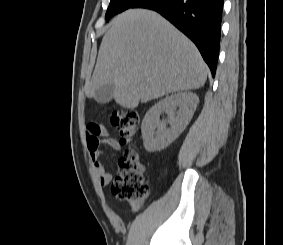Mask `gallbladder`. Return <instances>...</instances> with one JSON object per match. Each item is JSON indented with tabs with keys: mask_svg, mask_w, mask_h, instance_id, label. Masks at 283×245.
<instances>
[{
	"mask_svg": "<svg viewBox=\"0 0 283 245\" xmlns=\"http://www.w3.org/2000/svg\"><path fill=\"white\" fill-rule=\"evenodd\" d=\"M114 84H105L101 86L94 95V99L98 103H107L113 98Z\"/></svg>",
	"mask_w": 283,
	"mask_h": 245,
	"instance_id": "obj_1",
	"label": "gallbladder"
}]
</instances>
